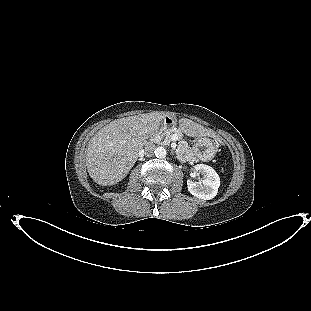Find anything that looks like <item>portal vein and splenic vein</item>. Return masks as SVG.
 Here are the masks:
<instances>
[{
  "instance_id": "obj_1",
  "label": "portal vein and splenic vein",
  "mask_w": 311,
  "mask_h": 311,
  "mask_svg": "<svg viewBox=\"0 0 311 311\" xmlns=\"http://www.w3.org/2000/svg\"><path fill=\"white\" fill-rule=\"evenodd\" d=\"M177 139H178V137L174 138V140H177Z\"/></svg>"
}]
</instances>
